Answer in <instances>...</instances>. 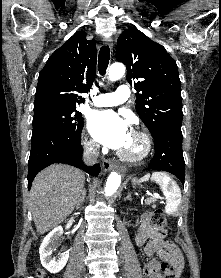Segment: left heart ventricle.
I'll use <instances>...</instances> for the list:
<instances>
[{"label":"left heart ventricle","instance_id":"b2bd125f","mask_svg":"<svg viewBox=\"0 0 221 278\" xmlns=\"http://www.w3.org/2000/svg\"><path fill=\"white\" fill-rule=\"evenodd\" d=\"M141 148H142L141 140L134 135H130L128 143L121 150L127 154L135 155L140 152Z\"/></svg>","mask_w":221,"mask_h":278}]
</instances>
